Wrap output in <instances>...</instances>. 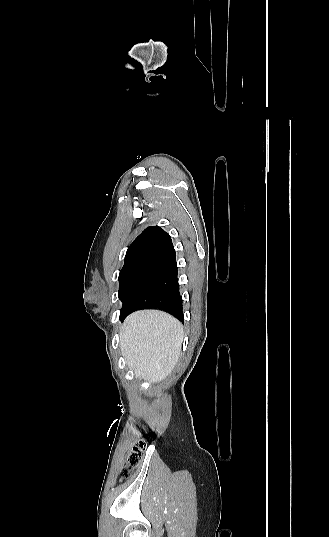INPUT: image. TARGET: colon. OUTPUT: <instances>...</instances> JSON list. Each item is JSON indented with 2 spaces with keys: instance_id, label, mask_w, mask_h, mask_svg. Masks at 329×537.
Wrapping results in <instances>:
<instances>
[{
  "instance_id": "colon-1",
  "label": "colon",
  "mask_w": 329,
  "mask_h": 537,
  "mask_svg": "<svg viewBox=\"0 0 329 537\" xmlns=\"http://www.w3.org/2000/svg\"><path fill=\"white\" fill-rule=\"evenodd\" d=\"M145 449V441L140 440L134 444L128 453L127 459L120 469L119 476L121 480L129 479L140 463Z\"/></svg>"
}]
</instances>
